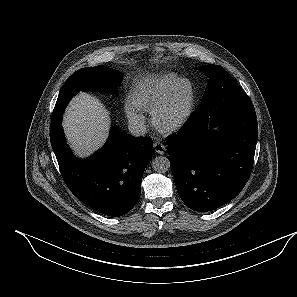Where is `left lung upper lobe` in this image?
<instances>
[{"label":"left lung upper lobe","mask_w":297,"mask_h":297,"mask_svg":"<svg viewBox=\"0 0 297 297\" xmlns=\"http://www.w3.org/2000/svg\"><path fill=\"white\" fill-rule=\"evenodd\" d=\"M197 70L203 71L209 79L201 104L195 112L199 113L209 106L214 107L224 100L249 99L248 95L222 66L205 65L197 67Z\"/></svg>","instance_id":"obj_1"}]
</instances>
